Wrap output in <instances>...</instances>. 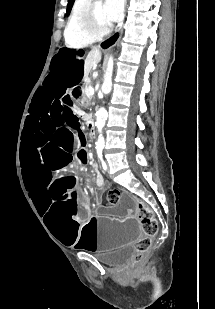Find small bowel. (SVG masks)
Returning a JSON list of instances; mask_svg holds the SVG:
<instances>
[{"label":"small bowel","instance_id":"1","mask_svg":"<svg viewBox=\"0 0 215 309\" xmlns=\"http://www.w3.org/2000/svg\"><path fill=\"white\" fill-rule=\"evenodd\" d=\"M94 192H95V194H98V193H99V189L96 188V189L94 190Z\"/></svg>","mask_w":215,"mask_h":309}]
</instances>
